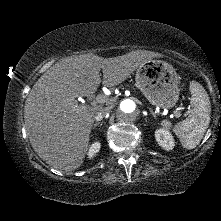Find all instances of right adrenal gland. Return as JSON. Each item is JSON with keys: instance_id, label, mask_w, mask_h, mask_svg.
<instances>
[{"instance_id": "right-adrenal-gland-1", "label": "right adrenal gland", "mask_w": 221, "mask_h": 221, "mask_svg": "<svg viewBox=\"0 0 221 221\" xmlns=\"http://www.w3.org/2000/svg\"><path fill=\"white\" fill-rule=\"evenodd\" d=\"M100 123H95L94 126H93V129L98 126Z\"/></svg>"}]
</instances>
